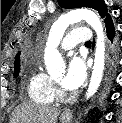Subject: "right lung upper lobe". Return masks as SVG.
<instances>
[{"mask_svg": "<svg viewBox=\"0 0 122 123\" xmlns=\"http://www.w3.org/2000/svg\"><path fill=\"white\" fill-rule=\"evenodd\" d=\"M20 54L18 53L15 57V67L20 66Z\"/></svg>", "mask_w": 122, "mask_h": 123, "instance_id": "obj_1", "label": "right lung upper lobe"}]
</instances>
